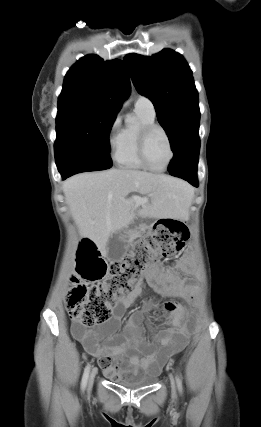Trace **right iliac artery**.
<instances>
[{
    "mask_svg": "<svg viewBox=\"0 0 261 427\" xmlns=\"http://www.w3.org/2000/svg\"><path fill=\"white\" fill-rule=\"evenodd\" d=\"M89 372H90V365L88 364L84 370L83 373V377H82V382H81V388L82 390L85 389L86 385H87V380H88V376H89Z\"/></svg>",
    "mask_w": 261,
    "mask_h": 427,
    "instance_id": "1",
    "label": "right iliac artery"
}]
</instances>
